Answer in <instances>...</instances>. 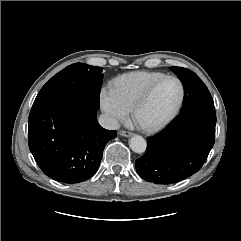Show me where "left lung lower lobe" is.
<instances>
[{
	"instance_id": "left-lung-lower-lobe-1",
	"label": "left lung lower lobe",
	"mask_w": 241,
	"mask_h": 241,
	"mask_svg": "<svg viewBox=\"0 0 241 241\" xmlns=\"http://www.w3.org/2000/svg\"><path fill=\"white\" fill-rule=\"evenodd\" d=\"M214 105L180 112L166 128L148 137L146 153L136 160L138 174L148 182L170 184L196 173L215 139Z\"/></svg>"
}]
</instances>
